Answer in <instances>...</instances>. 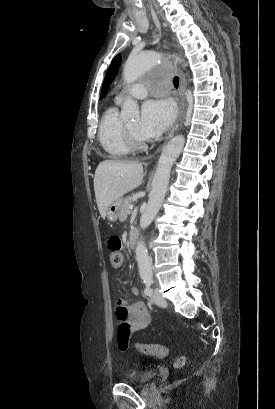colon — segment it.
<instances>
[{"mask_svg": "<svg viewBox=\"0 0 275 409\" xmlns=\"http://www.w3.org/2000/svg\"><path fill=\"white\" fill-rule=\"evenodd\" d=\"M108 249L111 251V262L114 270H121L122 269V262H123V253L121 252V238L119 235H112L107 240ZM138 351H142L143 357L148 358H165L166 351L168 350V343L167 342H149V343H137L135 345ZM184 363L183 358H179L176 361V366H180Z\"/></svg>", "mask_w": 275, "mask_h": 409, "instance_id": "1", "label": "colon"}]
</instances>
